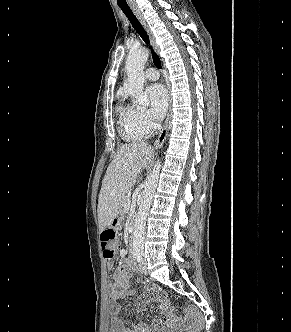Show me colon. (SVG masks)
<instances>
[{
    "label": "colon",
    "instance_id": "5ec220e1",
    "mask_svg": "<svg viewBox=\"0 0 291 332\" xmlns=\"http://www.w3.org/2000/svg\"><path fill=\"white\" fill-rule=\"evenodd\" d=\"M101 242L104 257L111 260L115 259L119 243L115 231L112 228H106L101 234ZM170 306V304H169ZM172 310V308L170 307ZM184 312L187 316L186 332H201L203 329V319L201 314L190 307H186Z\"/></svg>",
    "mask_w": 291,
    "mask_h": 332
}]
</instances>
